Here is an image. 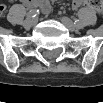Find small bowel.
Instances as JSON below:
<instances>
[{
  "label": "small bowel",
  "instance_id": "c3829d8e",
  "mask_svg": "<svg viewBox=\"0 0 103 103\" xmlns=\"http://www.w3.org/2000/svg\"><path fill=\"white\" fill-rule=\"evenodd\" d=\"M23 4L29 8H35L38 7L40 8L43 12H49L50 11V6L46 1H42V0H24ZM85 4V2L83 1H78L75 0L73 1L72 5L74 8H78L80 6H83ZM4 8V7H3ZM5 10V8H4Z\"/></svg>",
  "mask_w": 103,
  "mask_h": 103
}]
</instances>
